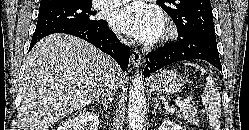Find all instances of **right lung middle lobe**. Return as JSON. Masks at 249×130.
<instances>
[{
    "label": "right lung middle lobe",
    "instance_id": "1",
    "mask_svg": "<svg viewBox=\"0 0 249 130\" xmlns=\"http://www.w3.org/2000/svg\"><path fill=\"white\" fill-rule=\"evenodd\" d=\"M91 1H79L69 5L40 7L36 29L61 24H97L92 16Z\"/></svg>",
    "mask_w": 249,
    "mask_h": 130
}]
</instances>
